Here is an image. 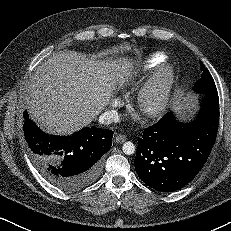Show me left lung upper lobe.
Returning a JSON list of instances; mask_svg holds the SVG:
<instances>
[{
    "instance_id": "obj_1",
    "label": "left lung upper lobe",
    "mask_w": 231,
    "mask_h": 231,
    "mask_svg": "<svg viewBox=\"0 0 231 231\" xmlns=\"http://www.w3.org/2000/svg\"><path fill=\"white\" fill-rule=\"evenodd\" d=\"M201 70H203V73L201 74V78L196 82L194 91L201 94L217 93L214 80L210 72L204 68L203 64L201 65Z\"/></svg>"
}]
</instances>
